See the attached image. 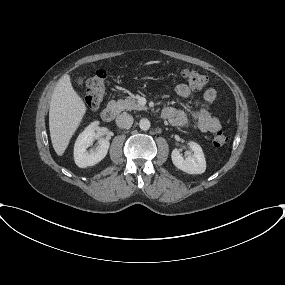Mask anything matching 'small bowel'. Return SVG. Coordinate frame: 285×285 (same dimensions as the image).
<instances>
[{
  "label": "small bowel",
  "instance_id": "1",
  "mask_svg": "<svg viewBox=\"0 0 285 285\" xmlns=\"http://www.w3.org/2000/svg\"><path fill=\"white\" fill-rule=\"evenodd\" d=\"M171 84L174 86L176 94L181 98H188L190 96L191 88L187 84L177 82L176 80H173ZM216 98V89L210 87L204 91L203 99L207 105L213 103ZM162 117L174 126L192 128L203 133H217L221 129L219 119L207 107L187 113L169 106L162 111Z\"/></svg>",
  "mask_w": 285,
  "mask_h": 285
}]
</instances>
